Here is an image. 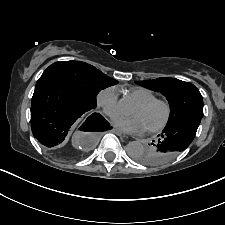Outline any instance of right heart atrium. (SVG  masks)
I'll return each mask as SVG.
<instances>
[{"label":"right heart atrium","instance_id":"obj_1","mask_svg":"<svg viewBox=\"0 0 225 225\" xmlns=\"http://www.w3.org/2000/svg\"><path fill=\"white\" fill-rule=\"evenodd\" d=\"M97 106L107 116L113 117L119 110L118 91L114 87H108L99 91L96 96Z\"/></svg>","mask_w":225,"mask_h":225}]
</instances>
